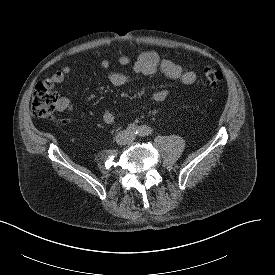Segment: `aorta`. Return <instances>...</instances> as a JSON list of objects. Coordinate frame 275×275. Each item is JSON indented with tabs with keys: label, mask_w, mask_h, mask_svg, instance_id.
Here are the masks:
<instances>
[{
	"label": "aorta",
	"mask_w": 275,
	"mask_h": 275,
	"mask_svg": "<svg viewBox=\"0 0 275 275\" xmlns=\"http://www.w3.org/2000/svg\"><path fill=\"white\" fill-rule=\"evenodd\" d=\"M148 132H149V130H148V129H145V130H144V133H148Z\"/></svg>",
	"instance_id": "obj_1"
}]
</instances>
